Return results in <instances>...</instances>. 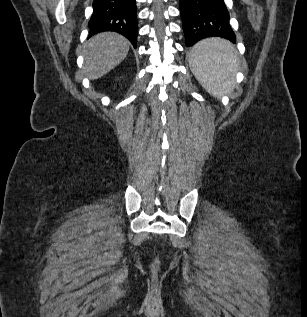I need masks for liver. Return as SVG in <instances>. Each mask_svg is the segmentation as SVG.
Segmentation results:
<instances>
[{"label":"liver","instance_id":"obj_1","mask_svg":"<svg viewBox=\"0 0 307 317\" xmlns=\"http://www.w3.org/2000/svg\"><path fill=\"white\" fill-rule=\"evenodd\" d=\"M129 45V41L118 33L104 32L92 37L84 47L86 76L95 80L110 72L126 58Z\"/></svg>","mask_w":307,"mask_h":317}]
</instances>
